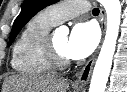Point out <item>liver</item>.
<instances>
[{
	"mask_svg": "<svg viewBox=\"0 0 127 92\" xmlns=\"http://www.w3.org/2000/svg\"><path fill=\"white\" fill-rule=\"evenodd\" d=\"M68 87L61 77L13 75L5 79L3 92H67Z\"/></svg>",
	"mask_w": 127,
	"mask_h": 92,
	"instance_id": "1",
	"label": "liver"
}]
</instances>
